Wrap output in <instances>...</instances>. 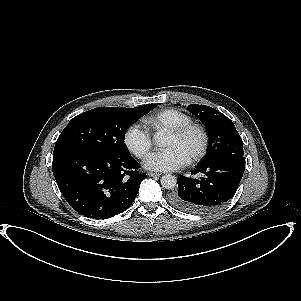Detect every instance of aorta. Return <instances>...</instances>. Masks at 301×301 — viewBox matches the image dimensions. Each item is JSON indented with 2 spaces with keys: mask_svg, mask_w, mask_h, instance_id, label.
Segmentation results:
<instances>
[{
  "mask_svg": "<svg viewBox=\"0 0 301 301\" xmlns=\"http://www.w3.org/2000/svg\"><path fill=\"white\" fill-rule=\"evenodd\" d=\"M155 142L160 143L162 140V136L157 134L154 136ZM161 185L165 189H174L177 186V179L172 174H165L160 179Z\"/></svg>",
  "mask_w": 301,
  "mask_h": 301,
  "instance_id": "obj_1",
  "label": "aorta"
}]
</instances>
